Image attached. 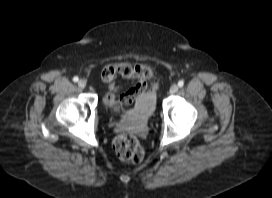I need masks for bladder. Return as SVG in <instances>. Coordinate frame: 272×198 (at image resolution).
Wrapping results in <instances>:
<instances>
[{
	"label": "bladder",
	"mask_w": 272,
	"mask_h": 198,
	"mask_svg": "<svg viewBox=\"0 0 272 198\" xmlns=\"http://www.w3.org/2000/svg\"><path fill=\"white\" fill-rule=\"evenodd\" d=\"M112 112L119 114L122 112L118 103L110 105ZM155 111V98L146 97L136 102L135 106L126 112V115L134 121L144 122L147 121Z\"/></svg>",
	"instance_id": "bladder-1"
}]
</instances>
